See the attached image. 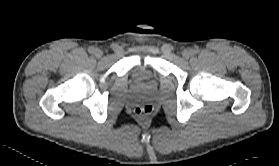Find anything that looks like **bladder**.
Returning <instances> with one entry per match:
<instances>
[{"mask_svg":"<svg viewBox=\"0 0 279 166\" xmlns=\"http://www.w3.org/2000/svg\"><path fill=\"white\" fill-rule=\"evenodd\" d=\"M135 76L146 83H153L155 73L150 67H140L135 69L134 71Z\"/></svg>","mask_w":279,"mask_h":166,"instance_id":"31cf9c89","label":"bladder"}]
</instances>
